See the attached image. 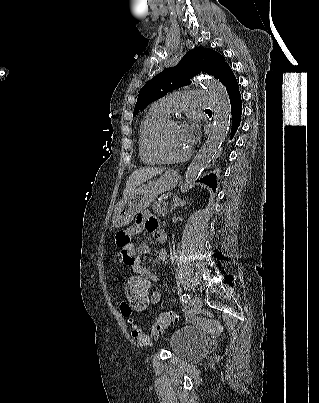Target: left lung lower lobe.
Returning a JSON list of instances; mask_svg holds the SVG:
<instances>
[{
  "label": "left lung lower lobe",
  "mask_w": 319,
  "mask_h": 403,
  "mask_svg": "<svg viewBox=\"0 0 319 403\" xmlns=\"http://www.w3.org/2000/svg\"><path fill=\"white\" fill-rule=\"evenodd\" d=\"M219 80L226 87L230 98L231 111H232V130H231V139H232L234 137L235 131L238 129L240 125L242 114V104H241L239 86L229 66L224 70ZM200 181L209 185L214 190L217 187L215 174H210L209 176L200 179Z\"/></svg>",
  "instance_id": "1"
}]
</instances>
